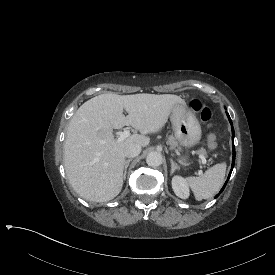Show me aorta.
Returning a JSON list of instances; mask_svg holds the SVG:
<instances>
[{
	"mask_svg": "<svg viewBox=\"0 0 275 275\" xmlns=\"http://www.w3.org/2000/svg\"><path fill=\"white\" fill-rule=\"evenodd\" d=\"M146 162L149 166L157 167L162 164V155L158 152H150L147 155Z\"/></svg>",
	"mask_w": 275,
	"mask_h": 275,
	"instance_id": "762f6f07",
	"label": "aorta"
}]
</instances>
